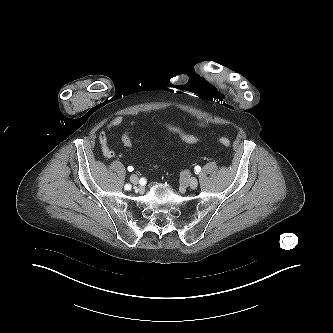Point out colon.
I'll list each match as a JSON object with an SVG mask.
<instances>
[{
  "instance_id": "1",
  "label": "colon",
  "mask_w": 333,
  "mask_h": 333,
  "mask_svg": "<svg viewBox=\"0 0 333 333\" xmlns=\"http://www.w3.org/2000/svg\"><path fill=\"white\" fill-rule=\"evenodd\" d=\"M160 123L163 126H165L168 130H170L171 132L177 134L184 142H186L188 144H195L200 141L199 137L189 134L186 131H184L183 129H181L175 125H172L169 123H164V122H160ZM121 140H122L123 145L127 148L132 147L134 144L129 130H126L122 134ZM218 141L225 147H229L231 144L230 140L226 137H220L218 139Z\"/></svg>"
}]
</instances>
